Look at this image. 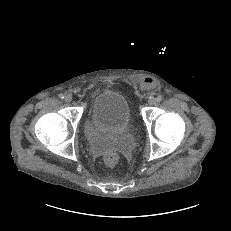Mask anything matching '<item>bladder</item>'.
<instances>
[{
  "label": "bladder",
  "instance_id": "obj_1",
  "mask_svg": "<svg viewBox=\"0 0 231 231\" xmlns=\"http://www.w3.org/2000/svg\"><path fill=\"white\" fill-rule=\"evenodd\" d=\"M87 118L98 128L122 135L131 125L132 114L124 94L115 90H104L94 98Z\"/></svg>",
  "mask_w": 231,
  "mask_h": 231
}]
</instances>
